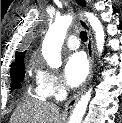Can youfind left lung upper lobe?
Returning <instances> with one entry per match:
<instances>
[{"label": "left lung upper lobe", "mask_w": 122, "mask_h": 123, "mask_svg": "<svg viewBox=\"0 0 122 123\" xmlns=\"http://www.w3.org/2000/svg\"><path fill=\"white\" fill-rule=\"evenodd\" d=\"M76 2L81 5L84 6L85 5V1L84 0H76Z\"/></svg>", "instance_id": "5c2ea615"}]
</instances>
